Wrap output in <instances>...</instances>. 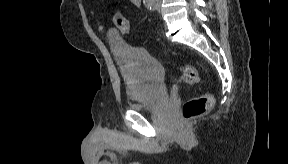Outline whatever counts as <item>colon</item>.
<instances>
[{"label": "colon", "mask_w": 288, "mask_h": 164, "mask_svg": "<svg viewBox=\"0 0 288 164\" xmlns=\"http://www.w3.org/2000/svg\"><path fill=\"white\" fill-rule=\"evenodd\" d=\"M117 28L125 34L130 32L129 21L123 15H116ZM180 76L194 85L201 83V76L198 70L189 65H174ZM213 107V97L208 93H201L191 98L181 106L183 120H194V118L208 113Z\"/></svg>", "instance_id": "5ec220e1"}]
</instances>
